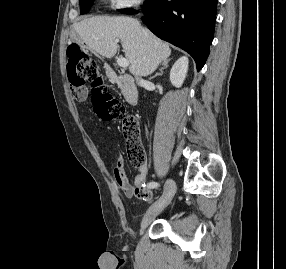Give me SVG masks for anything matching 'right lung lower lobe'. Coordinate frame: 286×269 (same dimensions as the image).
Listing matches in <instances>:
<instances>
[{"instance_id":"obj_1","label":"right lung lower lobe","mask_w":286,"mask_h":269,"mask_svg":"<svg viewBox=\"0 0 286 269\" xmlns=\"http://www.w3.org/2000/svg\"><path fill=\"white\" fill-rule=\"evenodd\" d=\"M218 0H158L143 10L142 21L159 38L186 52L199 71L209 55L214 38Z\"/></svg>"}]
</instances>
